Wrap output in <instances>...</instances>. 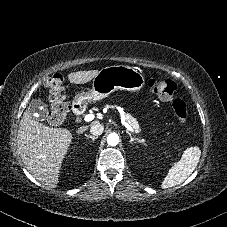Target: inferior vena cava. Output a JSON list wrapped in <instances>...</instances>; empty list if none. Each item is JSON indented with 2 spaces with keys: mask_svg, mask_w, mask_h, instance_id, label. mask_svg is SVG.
Masks as SVG:
<instances>
[{
  "mask_svg": "<svg viewBox=\"0 0 227 227\" xmlns=\"http://www.w3.org/2000/svg\"><path fill=\"white\" fill-rule=\"evenodd\" d=\"M103 131H104V126L100 123H95L90 128L91 134L95 136L101 135Z\"/></svg>",
  "mask_w": 227,
  "mask_h": 227,
  "instance_id": "602c4592",
  "label": "inferior vena cava"
}]
</instances>
